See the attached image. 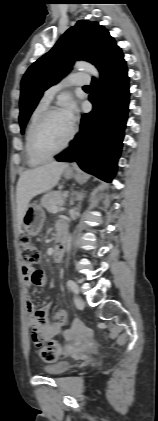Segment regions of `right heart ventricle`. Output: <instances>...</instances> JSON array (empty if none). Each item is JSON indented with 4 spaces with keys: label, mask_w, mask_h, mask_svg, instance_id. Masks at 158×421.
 I'll return each instance as SVG.
<instances>
[{
    "label": "right heart ventricle",
    "mask_w": 158,
    "mask_h": 421,
    "mask_svg": "<svg viewBox=\"0 0 158 421\" xmlns=\"http://www.w3.org/2000/svg\"><path fill=\"white\" fill-rule=\"evenodd\" d=\"M48 103L40 101L32 110L29 120L27 123L26 134H25V154L26 161L29 166L35 167L41 165L44 160H40L34 156L31 150L30 138L33 126L40 117V115L47 109Z\"/></svg>",
    "instance_id": "1"
}]
</instances>
